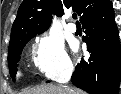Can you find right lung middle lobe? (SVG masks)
<instances>
[{"label":"right lung middle lobe","instance_id":"dd1d6c3e","mask_svg":"<svg viewBox=\"0 0 121 94\" xmlns=\"http://www.w3.org/2000/svg\"><path fill=\"white\" fill-rule=\"evenodd\" d=\"M44 31L45 30H28L20 35L16 40L10 42L8 50V65L13 80H15L14 77L17 70V63L19 62L23 47L31 38L37 34L43 33Z\"/></svg>","mask_w":121,"mask_h":94}]
</instances>
